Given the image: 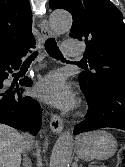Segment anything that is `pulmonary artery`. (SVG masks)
<instances>
[{
	"mask_svg": "<svg viewBox=\"0 0 125 167\" xmlns=\"http://www.w3.org/2000/svg\"><path fill=\"white\" fill-rule=\"evenodd\" d=\"M63 50L65 55L68 57L78 58L80 56L78 42L74 39L66 40L63 43Z\"/></svg>",
	"mask_w": 125,
	"mask_h": 167,
	"instance_id": "e3ab8cb5",
	"label": "pulmonary artery"
}]
</instances>
